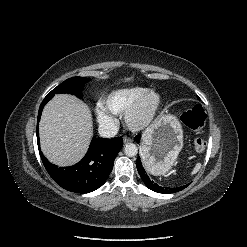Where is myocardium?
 <instances>
[{
  "label": "myocardium",
  "mask_w": 247,
  "mask_h": 247,
  "mask_svg": "<svg viewBox=\"0 0 247 247\" xmlns=\"http://www.w3.org/2000/svg\"><path fill=\"white\" fill-rule=\"evenodd\" d=\"M154 98V104L147 116L142 119H137L136 114L143 102L148 98ZM161 96L154 90H148L138 97L131 106L124 112V122L126 126L132 131H141L146 129L155 120L161 108Z\"/></svg>",
  "instance_id": "obj_1"
}]
</instances>
